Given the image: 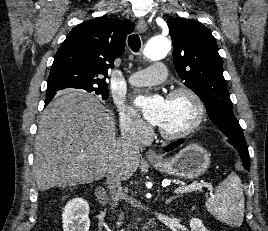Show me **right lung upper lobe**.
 <instances>
[{
	"label": "right lung upper lobe",
	"mask_w": 268,
	"mask_h": 231,
	"mask_svg": "<svg viewBox=\"0 0 268 231\" xmlns=\"http://www.w3.org/2000/svg\"><path fill=\"white\" fill-rule=\"evenodd\" d=\"M133 29L131 21L107 17L87 20L74 27L55 55L47 89L108 88L105 81L108 71L123 54L126 36ZM56 92L47 93L45 103Z\"/></svg>",
	"instance_id": "obj_1"
}]
</instances>
